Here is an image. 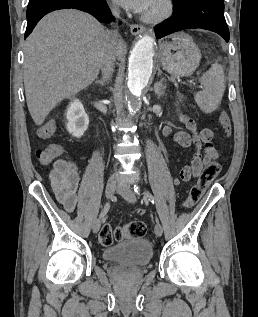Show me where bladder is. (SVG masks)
Segmentation results:
<instances>
[{"instance_id": "31cf9c89", "label": "bladder", "mask_w": 258, "mask_h": 317, "mask_svg": "<svg viewBox=\"0 0 258 317\" xmlns=\"http://www.w3.org/2000/svg\"><path fill=\"white\" fill-rule=\"evenodd\" d=\"M152 254V246L147 240L132 239L106 248L103 251V258L109 262L143 266L151 260Z\"/></svg>"}]
</instances>
